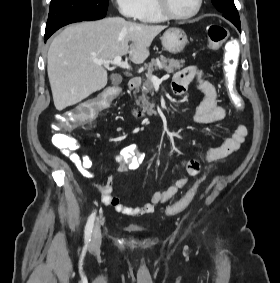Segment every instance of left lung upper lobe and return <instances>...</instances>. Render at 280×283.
<instances>
[{"label": "left lung upper lobe", "instance_id": "left-lung-upper-lobe-1", "mask_svg": "<svg viewBox=\"0 0 280 283\" xmlns=\"http://www.w3.org/2000/svg\"><path fill=\"white\" fill-rule=\"evenodd\" d=\"M213 5L231 22L240 23L239 14L233 0H212Z\"/></svg>", "mask_w": 280, "mask_h": 283}]
</instances>
